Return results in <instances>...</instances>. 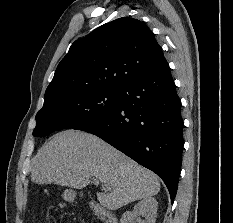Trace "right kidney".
<instances>
[{"label": "right kidney", "instance_id": "right-kidney-1", "mask_svg": "<svg viewBox=\"0 0 233 223\" xmlns=\"http://www.w3.org/2000/svg\"><path fill=\"white\" fill-rule=\"evenodd\" d=\"M158 201L155 197H144L134 205L133 211H125L120 223H131L132 219H136L138 215H143L145 219L141 223H155L157 217Z\"/></svg>", "mask_w": 233, "mask_h": 223}]
</instances>
